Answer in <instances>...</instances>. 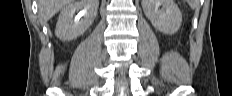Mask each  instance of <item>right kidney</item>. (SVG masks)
I'll list each match as a JSON object with an SVG mask.
<instances>
[{"label":"right kidney","mask_w":232,"mask_h":96,"mask_svg":"<svg viewBox=\"0 0 232 96\" xmlns=\"http://www.w3.org/2000/svg\"><path fill=\"white\" fill-rule=\"evenodd\" d=\"M99 0H71L61 11L55 34L61 40H73L81 36L93 23ZM79 12L75 18L74 15Z\"/></svg>","instance_id":"1"}]
</instances>
